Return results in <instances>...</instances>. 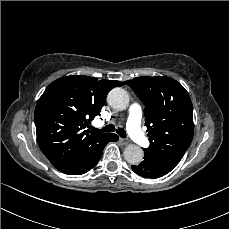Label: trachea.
I'll use <instances>...</instances> for the list:
<instances>
[{
	"label": "trachea",
	"instance_id": "1",
	"mask_svg": "<svg viewBox=\"0 0 229 229\" xmlns=\"http://www.w3.org/2000/svg\"><path fill=\"white\" fill-rule=\"evenodd\" d=\"M95 130L98 131V132H107V133H110V132H114L115 131V126L112 125V124H109V125L103 127L102 129H96L95 128ZM116 132L122 138H126L127 137V133H126V131L123 128L116 129Z\"/></svg>",
	"mask_w": 229,
	"mask_h": 229
}]
</instances>
